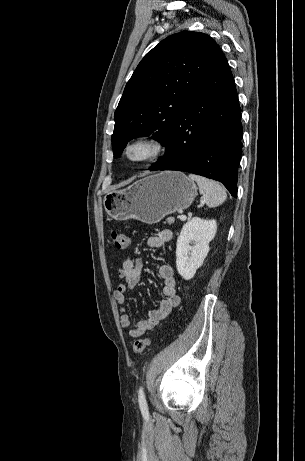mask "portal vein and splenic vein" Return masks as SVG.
I'll return each mask as SVG.
<instances>
[{
    "instance_id": "1",
    "label": "portal vein and splenic vein",
    "mask_w": 305,
    "mask_h": 461,
    "mask_svg": "<svg viewBox=\"0 0 305 461\" xmlns=\"http://www.w3.org/2000/svg\"><path fill=\"white\" fill-rule=\"evenodd\" d=\"M201 203L203 204L204 201H201ZM179 219L182 220V221H185L187 219V217L183 214L179 215Z\"/></svg>"
}]
</instances>
